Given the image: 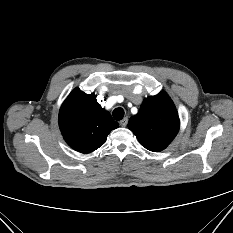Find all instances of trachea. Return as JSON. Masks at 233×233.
Here are the masks:
<instances>
[{
    "instance_id": "3493384b",
    "label": "trachea",
    "mask_w": 233,
    "mask_h": 233,
    "mask_svg": "<svg viewBox=\"0 0 233 233\" xmlns=\"http://www.w3.org/2000/svg\"><path fill=\"white\" fill-rule=\"evenodd\" d=\"M113 117L115 120H121L124 117V110L121 107L114 109Z\"/></svg>"
}]
</instances>
